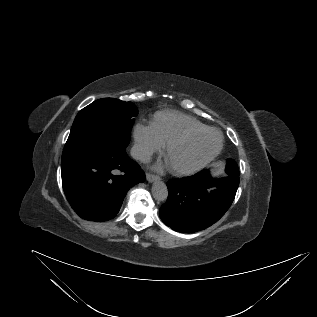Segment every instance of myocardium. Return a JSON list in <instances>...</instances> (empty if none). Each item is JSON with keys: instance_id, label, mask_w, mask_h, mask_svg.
I'll return each instance as SVG.
<instances>
[{"instance_id": "myocardium-1", "label": "myocardium", "mask_w": 317, "mask_h": 317, "mask_svg": "<svg viewBox=\"0 0 317 317\" xmlns=\"http://www.w3.org/2000/svg\"><path fill=\"white\" fill-rule=\"evenodd\" d=\"M206 132H214L218 135L219 143H218L217 147L204 159H202L201 161L197 162L196 164H194L190 167L182 168V169L170 168V170L173 174L178 175V176H185V175H190V174H193L195 172H198L201 169H203L204 167H206L209 163H211L219 155V153L221 152L222 147H223V136H222L221 132L218 131L217 129L212 128V127H205V128H201V129L188 130V131L182 133L181 135L175 137L174 139L170 140L164 147V157L166 158V156L168 155V153L172 149L185 143L190 138L197 136V135H200V134H203V133H206Z\"/></svg>"}]
</instances>
